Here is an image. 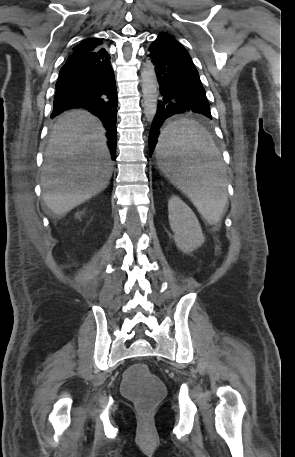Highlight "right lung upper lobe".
Returning <instances> with one entry per match:
<instances>
[{
    "label": "right lung upper lobe",
    "instance_id": "cb5924a9",
    "mask_svg": "<svg viewBox=\"0 0 295 457\" xmlns=\"http://www.w3.org/2000/svg\"><path fill=\"white\" fill-rule=\"evenodd\" d=\"M102 41L98 38H89L79 45L75 46L73 49V54L87 53L94 51L100 47Z\"/></svg>",
    "mask_w": 295,
    "mask_h": 457
}]
</instances>
